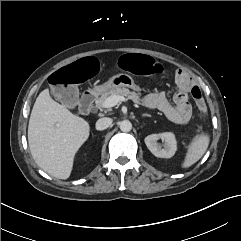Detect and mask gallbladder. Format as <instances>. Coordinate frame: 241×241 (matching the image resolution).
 Returning <instances> with one entry per match:
<instances>
[{
	"label": "gallbladder",
	"instance_id": "gallbladder-1",
	"mask_svg": "<svg viewBox=\"0 0 241 241\" xmlns=\"http://www.w3.org/2000/svg\"><path fill=\"white\" fill-rule=\"evenodd\" d=\"M66 93L68 94V97L66 96L67 100L64 101V105L73 108L78 104L79 91L76 87H69V89L66 90Z\"/></svg>",
	"mask_w": 241,
	"mask_h": 241
}]
</instances>
